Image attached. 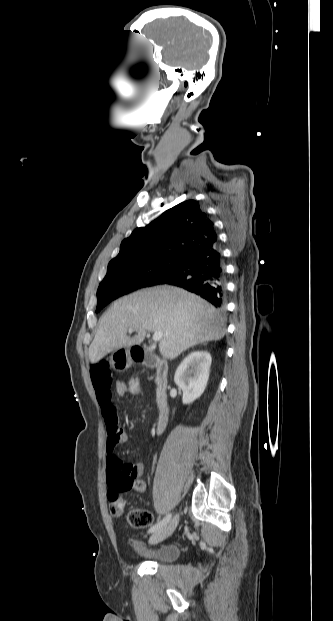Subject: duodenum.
<instances>
[{"label": "duodenum", "instance_id": "1", "mask_svg": "<svg viewBox=\"0 0 333 621\" xmlns=\"http://www.w3.org/2000/svg\"><path fill=\"white\" fill-rule=\"evenodd\" d=\"M131 357L135 362L155 370L156 402L159 411L156 423V432L158 434L162 433L165 430L169 419V406L167 401V363L157 356L147 353L138 347H133L131 349Z\"/></svg>", "mask_w": 333, "mask_h": 621}]
</instances>
